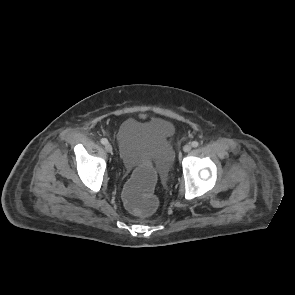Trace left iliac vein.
<instances>
[{"mask_svg":"<svg viewBox=\"0 0 295 295\" xmlns=\"http://www.w3.org/2000/svg\"><path fill=\"white\" fill-rule=\"evenodd\" d=\"M191 145L190 144H186L184 147H183V151L184 152H189L191 150Z\"/></svg>","mask_w":295,"mask_h":295,"instance_id":"1","label":"left iliac vein"}]
</instances>
